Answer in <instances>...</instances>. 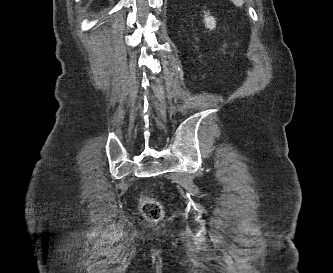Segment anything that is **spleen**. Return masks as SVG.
Wrapping results in <instances>:
<instances>
[{"label":"spleen","instance_id":"spleen-1","mask_svg":"<svg viewBox=\"0 0 333 273\" xmlns=\"http://www.w3.org/2000/svg\"><path fill=\"white\" fill-rule=\"evenodd\" d=\"M230 1L233 2L238 7L242 6L244 3V0H230Z\"/></svg>","mask_w":333,"mask_h":273}]
</instances>
